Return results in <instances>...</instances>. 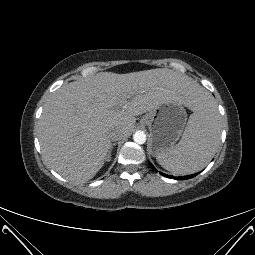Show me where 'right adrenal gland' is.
Returning a JSON list of instances; mask_svg holds the SVG:
<instances>
[{
  "instance_id": "1",
  "label": "right adrenal gland",
  "mask_w": 255,
  "mask_h": 255,
  "mask_svg": "<svg viewBox=\"0 0 255 255\" xmlns=\"http://www.w3.org/2000/svg\"><path fill=\"white\" fill-rule=\"evenodd\" d=\"M114 146H115V144H113V145L111 146V148H110V150H109V152H108V154H107V161H110V160H111V152H112V149H113Z\"/></svg>"
}]
</instances>
